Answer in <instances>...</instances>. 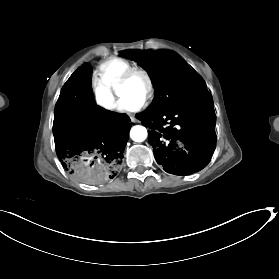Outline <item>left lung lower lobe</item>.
<instances>
[{
	"label": "left lung lower lobe",
	"instance_id": "0a47b994",
	"mask_svg": "<svg viewBox=\"0 0 279 279\" xmlns=\"http://www.w3.org/2000/svg\"><path fill=\"white\" fill-rule=\"evenodd\" d=\"M137 118L150 128L154 157L167 173L189 175L209 163L216 142V115L207 89L169 110Z\"/></svg>",
	"mask_w": 279,
	"mask_h": 279
}]
</instances>
